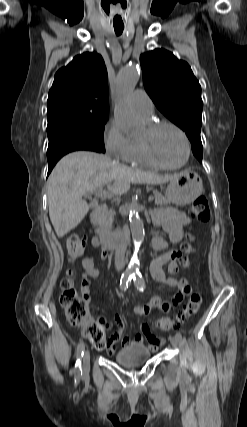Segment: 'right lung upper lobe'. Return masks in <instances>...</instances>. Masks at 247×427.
Returning a JSON list of instances; mask_svg holds the SVG:
<instances>
[{
  "instance_id": "right-lung-upper-lobe-1",
  "label": "right lung upper lobe",
  "mask_w": 247,
  "mask_h": 427,
  "mask_svg": "<svg viewBox=\"0 0 247 427\" xmlns=\"http://www.w3.org/2000/svg\"><path fill=\"white\" fill-rule=\"evenodd\" d=\"M64 108L109 109L107 70L97 53H83L57 71L47 114Z\"/></svg>"
}]
</instances>
